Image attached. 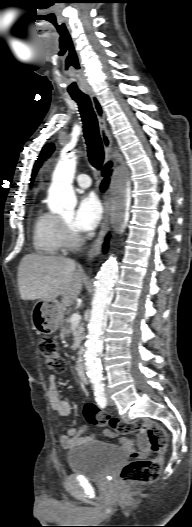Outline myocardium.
<instances>
[{
  "mask_svg": "<svg viewBox=\"0 0 192 527\" xmlns=\"http://www.w3.org/2000/svg\"><path fill=\"white\" fill-rule=\"evenodd\" d=\"M60 221L64 245L69 248L78 246L81 243V237L70 227V225L64 219H60Z\"/></svg>",
  "mask_w": 192,
  "mask_h": 527,
  "instance_id": "obj_1",
  "label": "myocardium"
}]
</instances>
